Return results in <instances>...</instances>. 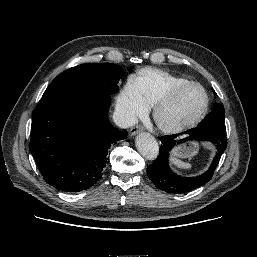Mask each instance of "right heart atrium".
I'll use <instances>...</instances> for the list:
<instances>
[{"label": "right heart atrium", "mask_w": 257, "mask_h": 257, "mask_svg": "<svg viewBox=\"0 0 257 257\" xmlns=\"http://www.w3.org/2000/svg\"><path fill=\"white\" fill-rule=\"evenodd\" d=\"M116 107L127 124L135 122L150 109L134 79H129L121 88L116 99Z\"/></svg>", "instance_id": "1"}]
</instances>
